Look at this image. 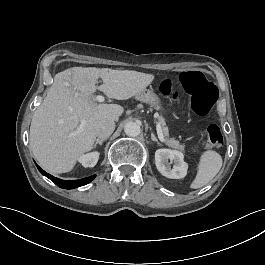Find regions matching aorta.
Masks as SVG:
<instances>
[{
	"mask_svg": "<svg viewBox=\"0 0 265 265\" xmlns=\"http://www.w3.org/2000/svg\"><path fill=\"white\" fill-rule=\"evenodd\" d=\"M124 132L130 137L138 136L140 134V126L136 122H128L124 125Z\"/></svg>",
	"mask_w": 265,
	"mask_h": 265,
	"instance_id": "1",
	"label": "aorta"
}]
</instances>
